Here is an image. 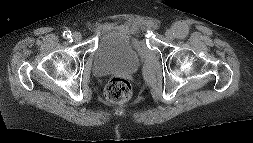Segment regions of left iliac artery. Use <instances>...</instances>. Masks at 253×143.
<instances>
[{
    "label": "left iliac artery",
    "instance_id": "obj_1",
    "mask_svg": "<svg viewBox=\"0 0 253 143\" xmlns=\"http://www.w3.org/2000/svg\"><path fill=\"white\" fill-rule=\"evenodd\" d=\"M177 30V37L184 38L188 33V28L186 26H180L176 28Z\"/></svg>",
    "mask_w": 253,
    "mask_h": 143
}]
</instances>
